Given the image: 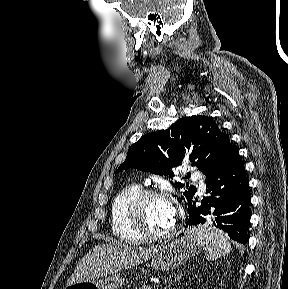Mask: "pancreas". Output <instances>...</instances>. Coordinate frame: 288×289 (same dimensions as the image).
<instances>
[{"mask_svg": "<svg viewBox=\"0 0 288 289\" xmlns=\"http://www.w3.org/2000/svg\"><path fill=\"white\" fill-rule=\"evenodd\" d=\"M135 289H151V287L149 285H143L142 287Z\"/></svg>", "mask_w": 288, "mask_h": 289, "instance_id": "obj_1", "label": "pancreas"}]
</instances>
